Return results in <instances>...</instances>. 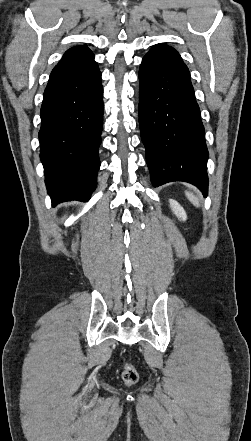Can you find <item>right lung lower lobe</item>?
Returning <instances> with one entry per match:
<instances>
[{"instance_id":"obj_1","label":"right lung lower lobe","mask_w":251,"mask_h":441,"mask_svg":"<svg viewBox=\"0 0 251 441\" xmlns=\"http://www.w3.org/2000/svg\"><path fill=\"white\" fill-rule=\"evenodd\" d=\"M103 88L98 66L52 72L44 91L40 158L53 206L88 201L100 167Z\"/></svg>"}]
</instances>
